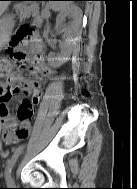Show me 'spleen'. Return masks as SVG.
<instances>
[{"label":"spleen","instance_id":"obj_1","mask_svg":"<svg viewBox=\"0 0 137 189\" xmlns=\"http://www.w3.org/2000/svg\"><path fill=\"white\" fill-rule=\"evenodd\" d=\"M70 4L71 2H68V1H50L49 2L51 9L54 11H62L65 8H67Z\"/></svg>","mask_w":137,"mask_h":189}]
</instances>
